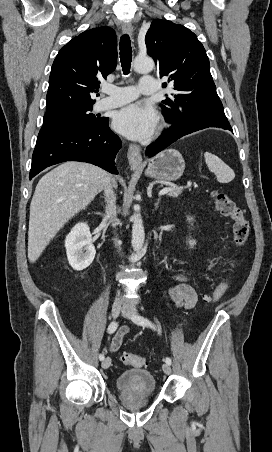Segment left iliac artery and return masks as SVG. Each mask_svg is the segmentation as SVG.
Listing matches in <instances>:
<instances>
[{
	"label": "left iliac artery",
	"mask_w": 272,
	"mask_h": 452,
	"mask_svg": "<svg viewBox=\"0 0 272 452\" xmlns=\"http://www.w3.org/2000/svg\"><path fill=\"white\" fill-rule=\"evenodd\" d=\"M132 320L136 324H139V325H142V326L151 327V328L155 329L154 324L149 319H147V318H145L143 316L135 315ZM165 362L167 364L171 365L172 360H171V358L166 357Z\"/></svg>",
	"instance_id": "obj_1"
}]
</instances>
